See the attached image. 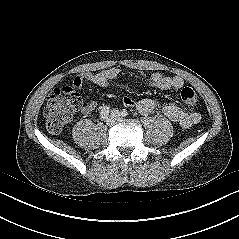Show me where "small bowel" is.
I'll return each instance as SVG.
<instances>
[{
  "label": "small bowel",
  "mask_w": 239,
  "mask_h": 239,
  "mask_svg": "<svg viewBox=\"0 0 239 239\" xmlns=\"http://www.w3.org/2000/svg\"><path fill=\"white\" fill-rule=\"evenodd\" d=\"M120 74L118 68L112 67L100 72H88L83 75L76 76L73 80V85L77 90H80L86 83L95 84L101 87H110V82L117 78ZM142 79L150 86L161 90H180L184 85V80L179 76H167L156 72L147 77L142 75ZM123 103L130 107H135L141 114H149L160 106V103L154 99H142L135 101L129 97L123 98ZM96 108L95 102H89L81 107L83 114H90ZM163 113L173 122L181 127L188 129L197 124L201 116L198 112H187L175 104H169L163 107Z\"/></svg>",
  "instance_id": "obj_1"
}]
</instances>
